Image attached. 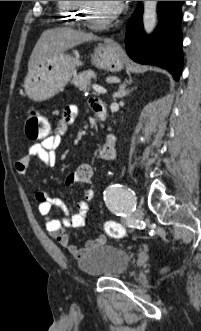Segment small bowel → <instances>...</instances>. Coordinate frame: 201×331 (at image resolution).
Listing matches in <instances>:
<instances>
[{
  "label": "small bowel",
  "instance_id": "c3829d8e",
  "mask_svg": "<svg viewBox=\"0 0 201 331\" xmlns=\"http://www.w3.org/2000/svg\"><path fill=\"white\" fill-rule=\"evenodd\" d=\"M90 106L95 114L101 109L105 110L103 103L98 100H92ZM77 116L78 108L76 106H66L54 133L44 140L31 145L28 152L15 162L17 172L25 174L30 162L34 159H39L47 166H54L57 161V149L61 143V138L66 133L68 127L74 123ZM115 153V137L109 134L98 152V157L102 160L110 161L114 159ZM92 178V167L89 164H82L76 171L67 176L66 184L68 186L90 184L92 183ZM35 199L37 201L38 212L45 219L47 231L74 258L81 259L91 249L102 244L98 239H93L86 241L83 246L73 245L66 231V229L82 228L85 226L89 204L94 199V191L92 189L88 188L84 190L83 199L77 202L75 213H71L62 200L52 198L43 191L36 192ZM54 208L62 214L63 218L61 220L51 216L52 209Z\"/></svg>",
  "mask_w": 201,
  "mask_h": 331
}]
</instances>
